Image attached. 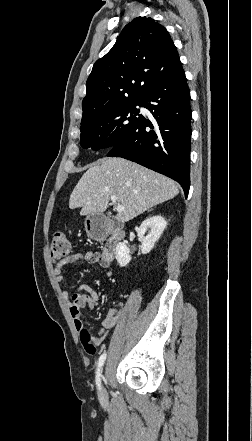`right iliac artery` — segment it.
<instances>
[{
  "instance_id": "82829eb1",
  "label": "right iliac artery",
  "mask_w": 252,
  "mask_h": 441,
  "mask_svg": "<svg viewBox=\"0 0 252 441\" xmlns=\"http://www.w3.org/2000/svg\"><path fill=\"white\" fill-rule=\"evenodd\" d=\"M106 353H103L98 361V367H97V371H96V384L98 386V388L100 389V376H101V368L106 360Z\"/></svg>"
}]
</instances>
